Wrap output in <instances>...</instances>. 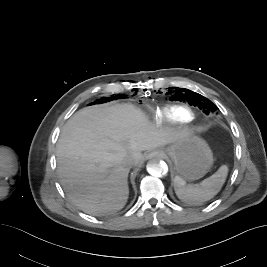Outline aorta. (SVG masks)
Listing matches in <instances>:
<instances>
[{
    "instance_id": "1",
    "label": "aorta",
    "mask_w": 267,
    "mask_h": 267,
    "mask_svg": "<svg viewBox=\"0 0 267 267\" xmlns=\"http://www.w3.org/2000/svg\"><path fill=\"white\" fill-rule=\"evenodd\" d=\"M147 172L154 177H161L168 172L167 164L160 159H152L147 163Z\"/></svg>"
}]
</instances>
